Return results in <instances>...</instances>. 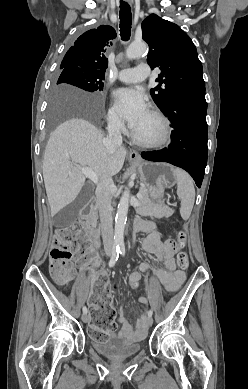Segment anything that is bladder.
Segmentation results:
<instances>
[{
	"mask_svg": "<svg viewBox=\"0 0 248 389\" xmlns=\"http://www.w3.org/2000/svg\"><path fill=\"white\" fill-rule=\"evenodd\" d=\"M91 345L96 352L111 359H123L138 354L142 346L132 344L129 340L121 337H111L103 341L92 337Z\"/></svg>",
	"mask_w": 248,
	"mask_h": 389,
	"instance_id": "obj_1",
	"label": "bladder"
}]
</instances>
